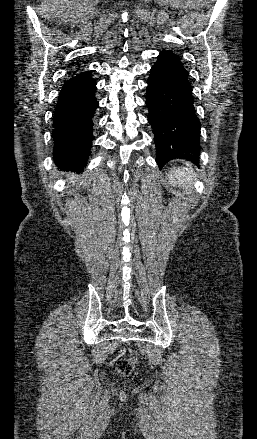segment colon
Segmentation results:
<instances>
[{
  "label": "colon",
  "mask_w": 257,
  "mask_h": 439,
  "mask_svg": "<svg viewBox=\"0 0 257 439\" xmlns=\"http://www.w3.org/2000/svg\"><path fill=\"white\" fill-rule=\"evenodd\" d=\"M116 367L119 372L128 375L133 370V361L127 358H120L116 363Z\"/></svg>",
  "instance_id": "5ec220e1"
}]
</instances>
